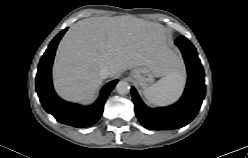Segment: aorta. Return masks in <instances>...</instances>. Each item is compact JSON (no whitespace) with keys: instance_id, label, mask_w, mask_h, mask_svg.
<instances>
[{"instance_id":"762f6f07","label":"aorta","mask_w":248,"mask_h":158,"mask_svg":"<svg viewBox=\"0 0 248 158\" xmlns=\"http://www.w3.org/2000/svg\"><path fill=\"white\" fill-rule=\"evenodd\" d=\"M116 91L120 94V95H125L128 94L130 91V85L128 82L126 81H119L116 85Z\"/></svg>"}]
</instances>
